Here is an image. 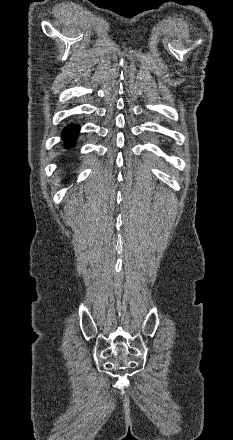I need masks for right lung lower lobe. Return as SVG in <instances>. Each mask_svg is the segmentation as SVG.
<instances>
[{"instance_id": "1", "label": "right lung lower lobe", "mask_w": 233, "mask_h": 440, "mask_svg": "<svg viewBox=\"0 0 233 440\" xmlns=\"http://www.w3.org/2000/svg\"><path fill=\"white\" fill-rule=\"evenodd\" d=\"M79 132V127L76 125H69L63 131V137L66 140V148H72L75 146V140Z\"/></svg>"}]
</instances>
